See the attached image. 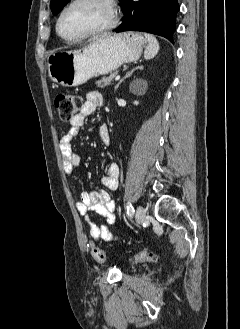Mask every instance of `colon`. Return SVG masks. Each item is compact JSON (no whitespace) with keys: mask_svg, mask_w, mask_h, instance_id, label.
<instances>
[{"mask_svg":"<svg viewBox=\"0 0 240 329\" xmlns=\"http://www.w3.org/2000/svg\"><path fill=\"white\" fill-rule=\"evenodd\" d=\"M55 106L59 112L60 119L69 122L80 112L83 102L79 95L69 92H61L55 98ZM90 251L93 259L97 263L103 264L105 262V254L96 245L91 244ZM156 259L157 257L149 252H141L136 257V260L140 262L155 261Z\"/></svg>","mask_w":240,"mask_h":329,"instance_id":"colon-1","label":"colon"}]
</instances>
